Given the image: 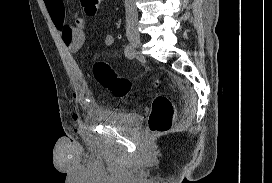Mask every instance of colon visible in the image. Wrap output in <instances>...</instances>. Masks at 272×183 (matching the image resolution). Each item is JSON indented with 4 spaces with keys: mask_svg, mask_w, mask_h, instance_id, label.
<instances>
[{
    "mask_svg": "<svg viewBox=\"0 0 272 183\" xmlns=\"http://www.w3.org/2000/svg\"><path fill=\"white\" fill-rule=\"evenodd\" d=\"M100 3L101 0H81L87 15L95 14ZM93 73L97 82L116 97L126 96L132 88L130 80L118 76L114 69L105 62H96L93 66ZM174 112V105L168 97L157 96L152 102L148 120L150 132L155 135L168 132L172 127Z\"/></svg>",
    "mask_w": 272,
    "mask_h": 183,
    "instance_id": "5ec220e1",
    "label": "colon"
}]
</instances>
